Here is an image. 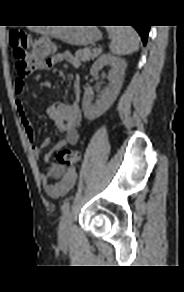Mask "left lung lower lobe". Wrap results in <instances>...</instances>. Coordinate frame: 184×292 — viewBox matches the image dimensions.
Here are the masks:
<instances>
[{
	"instance_id": "obj_1",
	"label": "left lung lower lobe",
	"mask_w": 184,
	"mask_h": 292,
	"mask_svg": "<svg viewBox=\"0 0 184 292\" xmlns=\"http://www.w3.org/2000/svg\"><path fill=\"white\" fill-rule=\"evenodd\" d=\"M133 27L137 30V32L141 36L143 44L145 45L146 41H147L148 33H149V26H146V25H134Z\"/></svg>"
}]
</instances>
